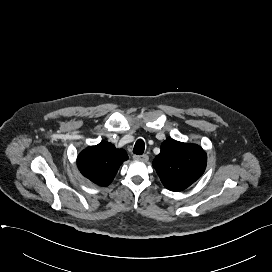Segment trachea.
<instances>
[{"instance_id": "obj_1", "label": "trachea", "mask_w": 272, "mask_h": 272, "mask_svg": "<svg viewBox=\"0 0 272 272\" xmlns=\"http://www.w3.org/2000/svg\"><path fill=\"white\" fill-rule=\"evenodd\" d=\"M145 150V143L142 139H138L135 143L133 153L136 155H142Z\"/></svg>"}]
</instances>
